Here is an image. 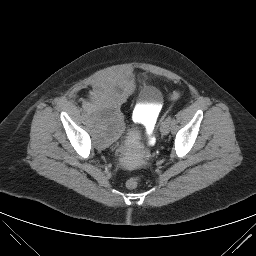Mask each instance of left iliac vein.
Masks as SVG:
<instances>
[{
	"label": "left iliac vein",
	"mask_w": 256,
	"mask_h": 256,
	"mask_svg": "<svg viewBox=\"0 0 256 256\" xmlns=\"http://www.w3.org/2000/svg\"><path fill=\"white\" fill-rule=\"evenodd\" d=\"M170 131V122L165 120L162 122L160 132L162 135H167Z\"/></svg>",
	"instance_id": "left-iliac-vein-1"
}]
</instances>
